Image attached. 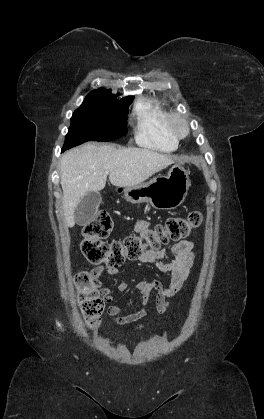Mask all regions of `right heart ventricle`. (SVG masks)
Here are the masks:
<instances>
[{
  "mask_svg": "<svg viewBox=\"0 0 264 419\" xmlns=\"http://www.w3.org/2000/svg\"><path fill=\"white\" fill-rule=\"evenodd\" d=\"M134 116V136L140 146L162 152H172L177 148V141L167 129L168 112L159 98L140 99L135 104Z\"/></svg>",
  "mask_w": 264,
  "mask_h": 419,
  "instance_id": "obj_1",
  "label": "right heart ventricle"
}]
</instances>
